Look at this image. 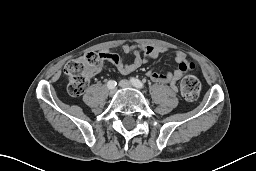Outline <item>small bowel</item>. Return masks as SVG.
<instances>
[{"mask_svg":"<svg viewBox=\"0 0 256 171\" xmlns=\"http://www.w3.org/2000/svg\"><path fill=\"white\" fill-rule=\"evenodd\" d=\"M122 50L126 54H134L136 58L132 63H126L125 60L117 55L110 53L108 50L100 52V57L104 62H110L116 66L118 71L122 74H129L137 70L142 64L156 59L160 54L167 52V49L159 46L142 45V44H125ZM143 53V57L140 54ZM173 61L176 62L179 67L173 72L161 73L155 70H150L147 76L154 82L168 85L172 91L177 92V82L184 76L186 71L184 66L189 62L186 55L179 50L174 51Z\"/></svg>","mask_w":256,"mask_h":171,"instance_id":"obj_1","label":"small bowel"}]
</instances>
